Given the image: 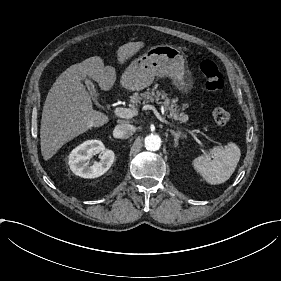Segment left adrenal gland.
<instances>
[{
  "label": "left adrenal gland",
  "instance_id": "obj_1",
  "mask_svg": "<svg viewBox=\"0 0 281 281\" xmlns=\"http://www.w3.org/2000/svg\"><path fill=\"white\" fill-rule=\"evenodd\" d=\"M171 135L174 136V147L178 146V140L180 138L181 132L180 131H174V130H170Z\"/></svg>",
  "mask_w": 281,
  "mask_h": 281
}]
</instances>
